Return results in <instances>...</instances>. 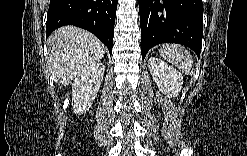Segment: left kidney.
<instances>
[{"instance_id": "obj_1", "label": "left kidney", "mask_w": 247, "mask_h": 156, "mask_svg": "<svg viewBox=\"0 0 247 156\" xmlns=\"http://www.w3.org/2000/svg\"><path fill=\"white\" fill-rule=\"evenodd\" d=\"M148 67L159 90L169 98L177 97L183 84L182 74L157 57L149 58Z\"/></svg>"}]
</instances>
